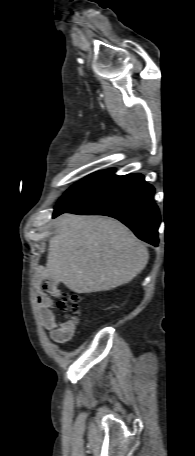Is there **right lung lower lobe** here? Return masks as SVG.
<instances>
[{
    "instance_id": "right-lung-lower-lobe-1",
    "label": "right lung lower lobe",
    "mask_w": 195,
    "mask_h": 456,
    "mask_svg": "<svg viewBox=\"0 0 195 456\" xmlns=\"http://www.w3.org/2000/svg\"><path fill=\"white\" fill-rule=\"evenodd\" d=\"M154 188L139 173L117 176L101 191L61 213L106 215L127 225L138 238L158 245L160 213L153 201Z\"/></svg>"
}]
</instances>
